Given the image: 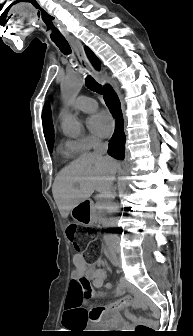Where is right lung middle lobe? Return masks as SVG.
<instances>
[{
  "label": "right lung middle lobe",
  "instance_id": "obj_1",
  "mask_svg": "<svg viewBox=\"0 0 193 336\" xmlns=\"http://www.w3.org/2000/svg\"><path fill=\"white\" fill-rule=\"evenodd\" d=\"M46 142H47V146H48L49 150L51 151L52 146H53V139L50 140V141H46Z\"/></svg>",
  "mask_w": 193,
  "mask_h": 336
}]
</instances>
